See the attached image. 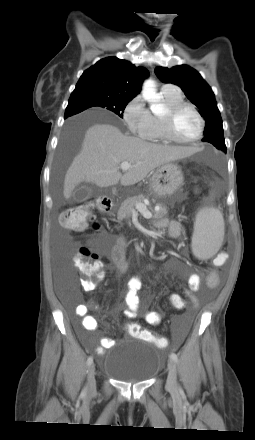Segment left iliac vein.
Instances as JSON below:
<instances>
[{"label":"left iliac vein","mask_w":255,"mask_h":440,"mask_svg":"<svg viewBox=\"0 0 255 440\" xmlns=\"http://www.w3.org/2000/svg\"><path fill=\"white\" fill-rule=\"evenodd\" d=\"M167 388L170 391H175L177 388L176 365L173 360L168 362Z\"/></svg>","instance_id":"4c4485c4"}]
</instances>
